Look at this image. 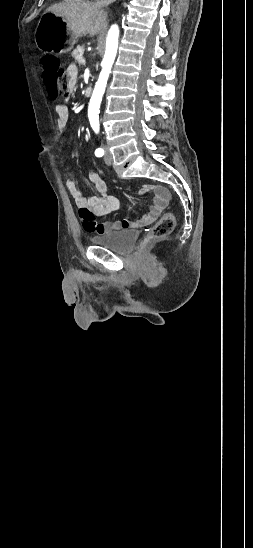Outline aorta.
Segmentation results:
<instances>
[{
    "label": "aorta",
    "instance_id": "762f6f07",
    "mask_svg": "<svg viewBox=\"0 0 253 548\" xmlns=\"http://www.w3.org/2000/svg\"><path fill=\"white\" fill-rule=\"evenodd\" d=\"M118 39H119V28L117 25H112L109 29L107 39H106V50L102 60V70L100 72L98 81L96 82L95 88L93 90L90 103H89V118L92 124L93 129L98 132L99 130V121L98 113L99 107L102 101L103 94L105 92L107 80L109 73L111 71L112 65L114 63L117 49H118Z\"/></svg>",
    "mask_w": 253,
    "mask_h": 548
}]
</instances>
